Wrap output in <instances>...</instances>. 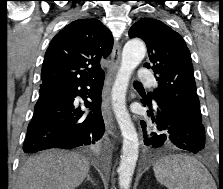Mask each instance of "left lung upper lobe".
I'll return each mask as SVG.
<instances>
[{
    "mask_svg": "<svg viewBox=\"0 0 223 189\" xmlns=\"http://www.w3.org/2000/svg\"><path fill=\"white\" fill-rule=\"evenodd\" d=\"M129 37L146 43L151 65L144 66L154 71L158 82L148 101L153 99L172 114L202 123L191 55L182 36L159 20L143 18L130 28Z\"/></svg>",
    "mask_w": 223,
    "mask_h": 189,
    "instance_id": "1",
    "label": "left lung upper lobe"
}]
</instances>
